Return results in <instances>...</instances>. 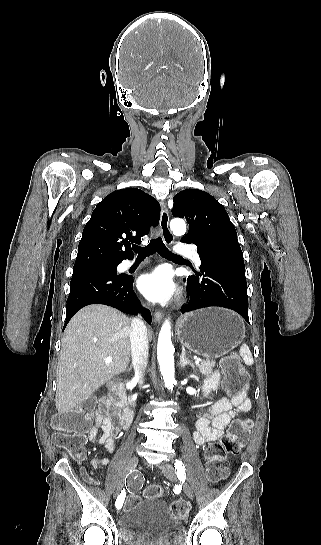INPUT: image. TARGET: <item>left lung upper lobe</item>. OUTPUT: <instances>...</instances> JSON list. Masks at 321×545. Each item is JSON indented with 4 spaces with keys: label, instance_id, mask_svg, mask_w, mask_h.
<instances>
[{
    "label": "left lung upper lobe",
    "instance_id": "obj_1",
    "mask_svg": "<svg viewBox=\"0 0 321 545\" xmlns=\"http://www.w3.org/2000/svg\"><path fill=\"white\" fill-rule=\"evenodd\" d=\"M172 214L186 218L190 226L181 242L199 245L218 238H237L225 208L204 191L186 189L179 192L174 196Z\"/></svg>",
    "mask_w": 321,
    "mask_h": 545
}]
</instances>
